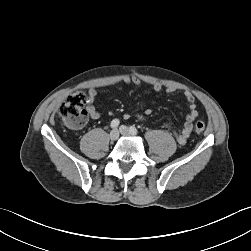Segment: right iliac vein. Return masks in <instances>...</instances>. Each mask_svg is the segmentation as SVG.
I'll return each mask as SVG.
<instances>
[{
  "label": "right iliac vein",
  "instance_id": "63e3f726",
  "mask_svg": "<svg viewBox=\"0 0 251 251\" xmlns=\"http://www.w3.org/2000/svg\"><path fill=\"white\" fill-rule=\"evenodd\" d=\"M118 136H119V132H118L117 129H113V130L110 132V134H109V138H110L112 141L117 140Z\"/></svg>",
  "mask_w": 251,
  "mask_h": 251
}]
</instances>
